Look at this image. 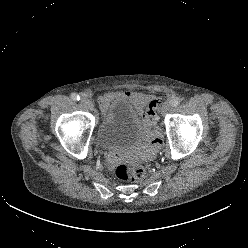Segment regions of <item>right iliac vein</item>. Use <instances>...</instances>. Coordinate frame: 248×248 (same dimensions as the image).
<instances>
[{
  "instance_id": "obj_1",
  "label": "right iliac vein",
  "mask_w": 248,
  "mask_h": 248,
  "mask_svg": "<svg viewBox=\"0 0 248 248\" xmlns=\"http://www.w3.org/2000/svg\"><path fill=\"white\" fill-rule=\"evenodd\" d=\"M81 102L83 103V105H85L88 109L92 110L93 109V102L91 100V98H89L86 95H83L81 98Z\"/></svg>"
}]
</instances>
